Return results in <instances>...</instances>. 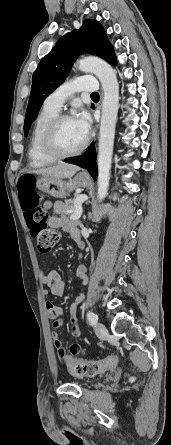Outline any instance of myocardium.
Wrapping results in <instances>:
<instances>
[{"mask_svg":"<svg viewBox=\"0 0 171 445\" xmlns=\"http://www.w3.org/2000/svg\"><path fill=\"white\" fill-rule=\"evenodd\" d=\"M75 119L73 115L71 114H58L56 115L46 126L42 141H41V147L42 151L45 155H47L50 158L53 159H64L72 156L79 155L82 153L89 144V137L86 136L83 143L76 149L71 151H63L58 148L55 142V136L56 132L59 128V126L66 120Z\"/></svg>","mask_w":171,"mask_h":445,"instance_id":"1","label":"myocardium"}]
</instances>
